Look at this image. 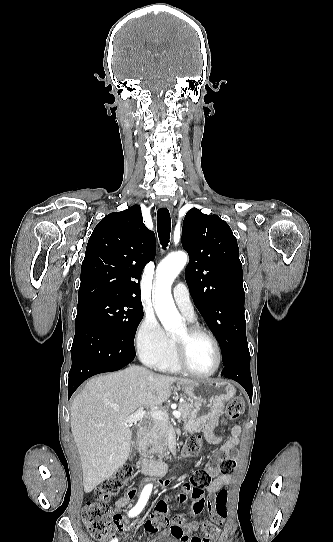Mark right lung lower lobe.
I'll return each instance as SVG.
<instances>
[{
	"instance_id": "1",
	"label": "right lung lower lobe",
	"mask_w": 333,
	"mask_h": 542,
	"mask_svg": "<svg viewBox=\"0 0 333 542\" xmlns=\"http://www.w3.org/2000/svg\"><path fill=\"white\" fill-rule=\"evenodd\" d=\"M72 366L69 371V398L89 377L117 371L135 358L106 327L89 317L76 319V332L71 348Z\"/></svg>"
}]
</instances>
